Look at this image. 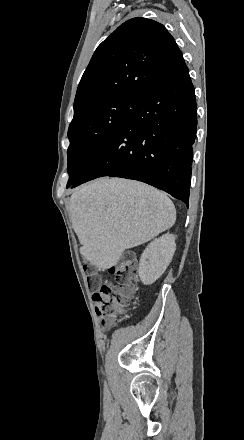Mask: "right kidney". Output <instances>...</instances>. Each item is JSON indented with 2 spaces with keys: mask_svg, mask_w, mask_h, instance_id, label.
I'll return each mask as SVG.
<instances>
[{
  "mask_svg": "<svg viewBox=\"0 0 244 440\" xmlns=\"http://www.w3.org/2000/svg\"><path fill=\"white\" fill-rule=\"evenodd\" d=\"M175 250L176 244L173 234H164V236L157 238V240H154V242L147 246L140 258L138 268L142 284H145V286L154 284L164 274L174 256Z\"/></svg>",
  "mask_w": 244,
  "mask_h": 440,
  "instance_id": "right-kidney-1",
  "label": "right kidney"
}]
</instances>
